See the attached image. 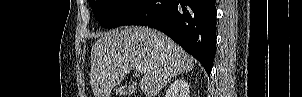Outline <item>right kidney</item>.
I'll use <instances>...</instances> for the list:
<instances>
[{
    "instance_id": "1",
    "label": "right kidney",
    "mask_w": 302,
    "mask_h": 97,
    "mask_svg": "<svg viewBox=\"0 0 302 97\" xmlns=\"http://www.w3.org/2000/svg\"><path fill=\"white\" fill-rule=\"evenodd\" d=\"M170 91V94H173L174 92H180L182 97H189V85L183 79L175 80L170 87Z\"/></svg>"
}]
</instances>
